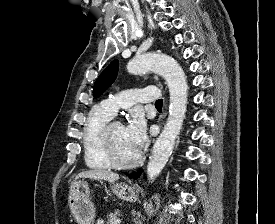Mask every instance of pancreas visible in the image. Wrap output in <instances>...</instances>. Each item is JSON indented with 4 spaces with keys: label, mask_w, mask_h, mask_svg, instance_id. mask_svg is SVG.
<instances>
[{
    "label": "pancreas",
    "mask_w": 275,
    "mask_h": 224,
    "mask_svg": "<svg viewBox=\"0 0 275 224\" xmlns=\"http://www.w3.org/2000/svg\"><path fill=\"white\" fill-rule=\"evenodd\" d=\"M117 216H120L118 212H112L107 215V224H118Z\"/></svg>",
    "instance_id": "pancreas-1"
}]
</instances>
